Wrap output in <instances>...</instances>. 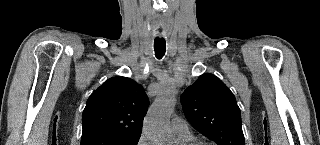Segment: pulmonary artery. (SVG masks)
Segmentation results:
<instances>
[{
	"label": "pulmonary artery",
	"mask_w": 320,
	"mask_h": 145,
	"mask_svg": "<svg viewBox=\"0 0 320 145\" xmlns=\"http://www.w3.org/2000/svg\"><path fill=\"white\" fill-rule=\"evenodd\" d=\"M170 129L172 134L176 137H187L191 135L188 122L179 117L172 119Z\"/></svg>",
	"instance_id": "pulmonary-artery-1"
}]
</instances>
